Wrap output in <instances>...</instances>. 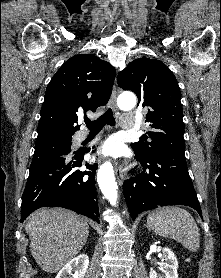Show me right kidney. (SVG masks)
Instances as JSON below:
<instances>
[{"mask_svg":"<svg viewBox=\"0 0 221 278\" xmlns=\"http://www.w3.org/2000/svg\"><path fill=\"white\" fill-rule=\"evenodd\" d=\"M89 266V258L81 254L69 261L55 278H84Z\"/></svg>","mask_w":221,"mask_h":278,"instance_id":"obj_1","label":"right kidney"}]
</instances>
